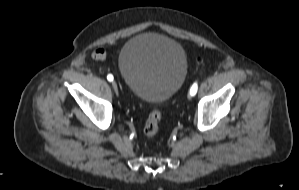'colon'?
<instances>
[{
    "instance_id": "1",
    "label": "colon",
    "mask_w": 299,
    "mask_h": 190,
    "mask_svg": "<svg viewBox=\"0 0 299 190\" xmlns=\"http://www.w3.org/2000/svg\"><path fill=\"white\" fill-rule=\"evenodd\" d=\"M161 116V110L158 108L152 110L149 114L144 126V134L147 138H154L158 134Z\"/></svg>"
}]
</instances>
